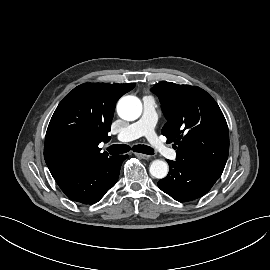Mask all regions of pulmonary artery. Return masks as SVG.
<instances>
[{
	"label": "pulmonary artery",
	"instance_id": "obj_1",
	"mask_svg": "<svg viewBox=\"0 0 270 270\" xmlns=\"http://www.w3.org/2000/svg\"><path fill=\"white\" fill-rule=\"evenodd\" d=\"M142 101L143 114L141 118L123 129L117 135V140L120 142H128L144 136L155 151L169 159H176V152L161 141L155 133V124L157 120L155 99L152 96H144Z\"/></svg>",
	"mask_w": 270,
	"mask_h": 270
}]
</instances>
